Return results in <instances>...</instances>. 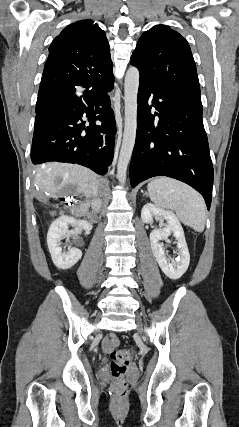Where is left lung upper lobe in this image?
<instances>
[{"label": "left lung upper lobe", "mask_w": 239, "mask_h": 427, "mask_svg": "<svg viewBox=\"0 0 239 427\" xmlns=\"http://www.w3.org/2000/svg\"><path fill=\"white\" fill-rule=\"evenodd\" d=\"M140 77L201 99L195 62L188 42L165 25H156L139 38L131 57Z\"/></svg>", "instance_id": "1"}]
</instances>
